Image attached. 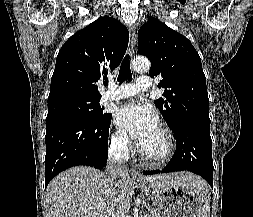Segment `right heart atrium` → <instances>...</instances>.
Listing matches in <instances>:
<instances>
[{
    "label": "right heart atrium",
    "mask_w": 253,
    "mask_h": 217,
    "mask_svg": "<svg viewBox=\"0 0 253 217\" xmlns=\"http://www.w3.org/2000/svg\"><path fill=\"white\" fill-rule=\"evenodd\" d=\"M111 146L117 154L123 157H126L130 153V150H131L130 140L128 136L126 135V133H124L121 130H115L112 133Z\"/></svg>",
    "instance_id": "d8ad5b80"
}]
</instances>
